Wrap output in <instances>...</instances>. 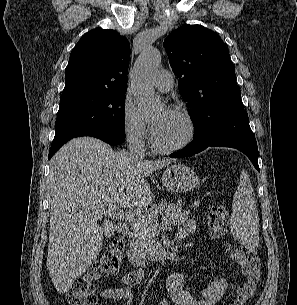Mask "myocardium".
I'll list each match as a JSON object with an SVG mask.
<instances>
[{"mask_svg": "<svg viewBox=\"0 0 297 305\" xmlns=\"http://www.w3.org/2000/svg\"><path fill=\"white\" fill-rule=\"evenodd\" d=\"M169 111L174 114L179 115L180 117H182L185 120L187 127H188V132H187L186 137L179 143L172 145V146H161L156 142L154 135H153V130H151L150 144L155 151L162 153V154H171V153H175L177 151L184 149L194 140L195 135H196V124H195L194 118L188 111H186L182 108H179V107L171 108Z\"/></svg>", "mask_w": 297, "mask_h": 305, "instance_id": "1", "label": "myocardium"}]
</instances>
